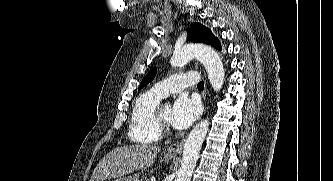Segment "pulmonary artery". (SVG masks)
<instances>
[{
  "instance_id": "e3ab8cb5",
  "label": "pulmonary artery",
  "mask_w": 333,
  "mask_h": 181,
  "mask_svg": "<svg viewBox=\"0 0 333 181\" xmlns=\"http://www.w3.org/2000/svg\"><path fill=\"white\" fill-rule=\"evenodd\" d=\"M198 81L199 74L197 72L176 74L156 83L151 91L164 98L171 93H179L185 87L194 86Z\"/></svg>"
}]
</instances>
